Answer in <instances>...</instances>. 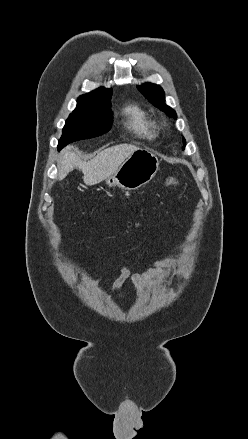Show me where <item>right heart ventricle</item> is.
<instances>
[{
    "mask_svg": "<svg viewBox=\"0 0 248 439\" xmlns=\"http://www.w3.org/2000/svg\"><path fill=\"white\" fill-rule=\"evenodd\" d=\"M125 126L137 136L144 139L157 137V125L151 115L139 104L128 103L122 109Z\"/></svg>",
    "mask_w": 248,
    "mask_h": 439,
    "instance_id": "right-heart-ventricle-1",
    "label": "right heart ventricle"
}]
</instances>
